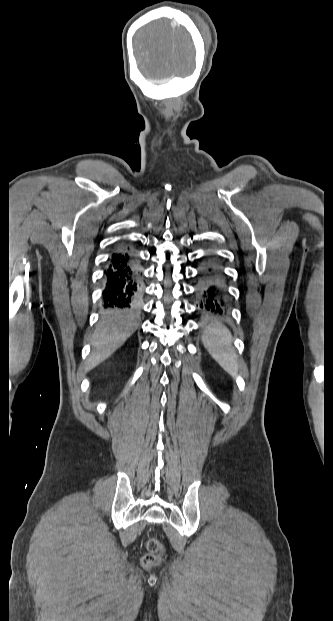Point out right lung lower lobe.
<instances>
[{"label": "right lung lower lobe", "instance_id": "obj_1", "mask_svg": "<svg viewBox=\"0 0 333 621\" xmlns=\"http://www.w3.org/2000/svg\"><path fill=\"white\" fill-rule=\"evenodd\" d=\"M104 274V308H137L143 291V275L132 250L127 247L118 248L112 254Z\"/></svg>", "mask_w": 333, "mask_h": 621}]
</instances>
